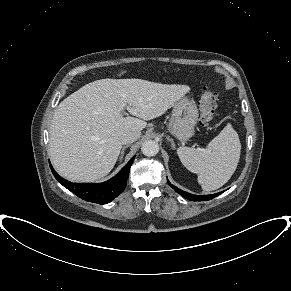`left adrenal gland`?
Returning <instances> with one entry per match:
<instances>
[{"label": "left adrenal gland", "mask_w": 291, "mask_h": 291, "mask_svg": "<svg viewBox=\"0 0 291 291\" xmlns=\"http://www.w3.org/2000/svg\"><path fill=\"white\" fill-rule=\"evenodd\" d=\"M167 140L171 142L172 149H176L174 140L170 138L169 136L167 137Z\"/></svg>", "instance_id": "a2214340"}]
</instances>
